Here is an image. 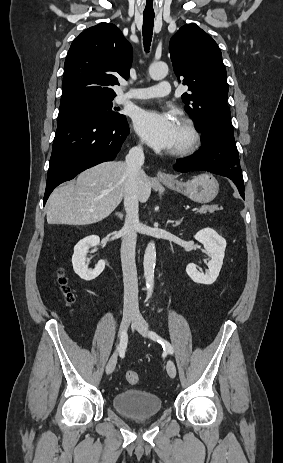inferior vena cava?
I'll use <instances>...</instances> for the list:
<instances>
[{
    "label": "inferior vena cava",
    "mask_w": 283,
    "mask_h": 463,
    "mask_svg": "<svg viewBox=\"0 0 283 463\" xmlns=\"http://www.w3.org/2000/svg\"><path fill=\"white\" fill-rule=\"evenodd\" d=\"M144 152L141 145L130 149L126 156V167L129 178L124 194L126 211L125 223L122 228L121 262L124 282V311H138V279L135 263V247L137 231L140 226L138 215L139 188L145 179L142 170Z\"/></svg>",
    "instance_id": "inferior-vena-cava-1"
}]
</instances>
